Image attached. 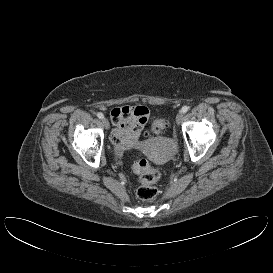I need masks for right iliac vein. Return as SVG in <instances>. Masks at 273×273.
<instances>
[{"label":"right iliac vein","instance_id":"1","mask_svg":"<svg viewBox=\"0 0 273 273\" xmlns=\"http://www.w3.org/2000/svg\"><path fill=\"white\" fill-rule=\"evenodd\" d=\"M102 123H103V125H104V127H105L106 129H109L110 124H109V121H108L106 118H103V119H102Z\"/></svg>","mask_w":273,"mask_h":273}]
</instances>
